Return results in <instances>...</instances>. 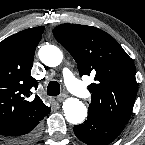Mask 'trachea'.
<instances>
[{
    "mask_svg": "<svg viewBox=\"0 0 145 145\" xmlns=\"http://www.w3.org/2000/svg\"><path fill=\"white\" fill-rule=\"evenodd\" d=\"M47 94L49 96H57L60 94V85L57 81H50L47 86Z\"/></svg>",
    "mask_w": 145,
    "mask_h": 145,
    "instance_id": "1",
    "label": "trachea"
}]
</instances>
